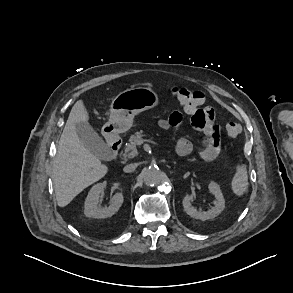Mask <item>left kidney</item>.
<instances>
[{
	"instance_id": "1",
	"label": "left kidney",
	"mask_w": 293,
	"mask_h": 293,
	"mask_svg": "<svg viewBox=\"0 0 293 293\" xmlns=\"http://www.w3.org/2000/svg\"><path fill=\"white\" fill-rule=\"evenodd\" d=\"M208 189L215 197L214 206L208 211H198L194 208L192 206V202L194 201L192 195L187 194L184 197L182 202L184 211L192 218L200 219L202 221L213 219L225 209V200L220 190V186L216 182L211 181L208 185Z\"/></svg>"
}]
</instances>
